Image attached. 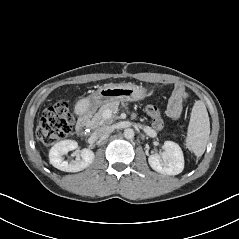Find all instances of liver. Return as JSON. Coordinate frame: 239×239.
I'll use <instances>...</instances> for the list:
<instances>
[{"label": "liver", "instance_id": "liver-1", "mask_svg": "<svg viewBox=\"0 0 239 239\" xmlns=\"http://www.w3.org/2000/svg\"><path fill=\"white\" fill-rule=\"evenodd\" d=\"M94 110L95 109L92 108L89 97L79 99L74 106V112L78 116L92 113Z\"/></svg>", "mask_w": 239, "mask_h": 239}]
</instances>
